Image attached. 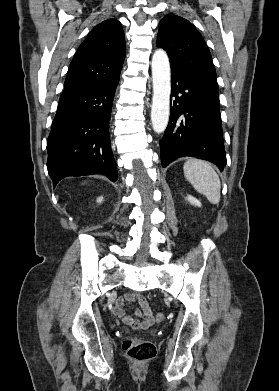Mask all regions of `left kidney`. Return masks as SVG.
I'll return each instance as SVG.
<instances>
[{
    "mask_svg": "<svg viewBox=\"0 0 279 391\" xmlns=\"http://www.w3.org/2000/svg\"><path fill=\"white\" fill-rule=\"evenodd\" d=\"M187 200L192 204V205H195V206H198V207H201V203L199 200H197L196 198L188 195L187 196Z\"/></svg>",
    "mask_w": 279,
    "mask_h": 391,
    "instance_id": "5707ae66",
    "label": "left kidney"
}]
</instances>
